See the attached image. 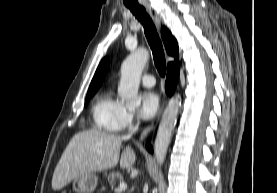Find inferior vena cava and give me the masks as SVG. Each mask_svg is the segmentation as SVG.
I'll use <instances>...</instances> for the list:
<instances>
[{
  "mask_svg": "<svg viewBox=\"0 0 277 193\" xmlns=\"http://www.w3.org/2000/svg\"><path fill=\"white\" fill-rule=\"evenodd\" d=\"M138 127H139V120H138V123L136 124L135 128L127 134L126 138H130L132 136V134L138 130Z\"/></svg>",
  "mask_w": 277,
  "mask_h": 193,
  "instance_id": "obj_1",
  "label": "inferior vena cava"
}]
</instances>
